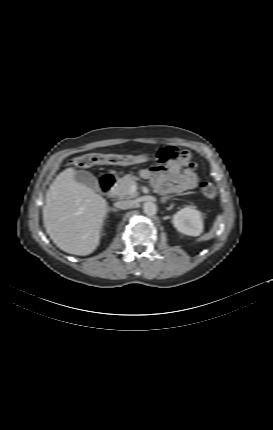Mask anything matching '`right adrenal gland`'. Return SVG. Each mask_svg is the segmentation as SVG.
I'll list each match as a JSON object with an SVG mask.
<instances>
[{
  "label": "right adrenal gland",
  "instance_id": "2a0ac1e0",
  "mask_svg": "<svg viewBox=\"0 0 273 430\" xmlns=\"http://www.w3.org/2000/svg\"><path fill=\"white\" fill-rule=\"evenodd\" d=\"M119 210L118 209H116V208H108V211H107V213H109V212H115V213H117Z\"/></svg>",
  "mask_w": 273,
  "mask_h": 430
}]
</instances>
